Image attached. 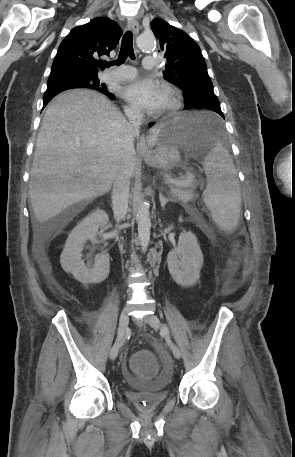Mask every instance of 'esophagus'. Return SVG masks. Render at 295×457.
<instances>
[{"label":"esophagus","mask_w":295,"mask_h":457,"mask_svg":"<svg viewBox=\"0 0 295 457\" xmlns=\"http://www.w3.org/2000/svg\"><path fill=\"white\" fill-rule=\"evenodd\" d=\"M127 28H128V30L132 31L135 35H137L139 33V23H138L137 19H135V18L130 19L128 22ZM137 146H138V150L140 152H143V153L147 152V145H146L144 137H142L140 139Z\"/></svg>","instance_id":"esophagus-1"}]
</instances>
